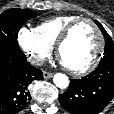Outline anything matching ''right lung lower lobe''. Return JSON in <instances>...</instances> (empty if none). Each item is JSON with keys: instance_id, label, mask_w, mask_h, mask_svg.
I'll return each mask as SVG.
<instances>
[{"instance_id": "right-lung-lower-lobe-1", "label": "right lung lower lobe", "mask_w": 114, "mask_h": 114, "mask_svg": "<svg viewBox=\"0 0 114 114\" xmlns=\"http://www.w3.org/2000/svg\"><path fill=\"white\" fill-rule=\"evenodd\" d=\"M43 79L41 70L26 62V56L0 54V114H16L31 100L33 80Z\"/></svg>"}]
</instances>
